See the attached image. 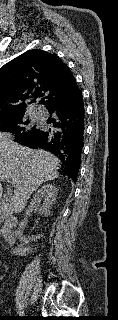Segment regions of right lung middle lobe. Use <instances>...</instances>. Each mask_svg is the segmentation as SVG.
I'll return each mask as SVG.
<instances>
[{"instance_id":"obj_1","label":"right lung middle lobe","mask_w":118,"mask_h":320,"mask_svg":"<svg viewBox=\"0 0 118 320\" xmlns=\"http://www.w3.org/2000/svg\"><path fill=\"white\" fill-rule=\"evenodd\" d=\"M0 131L14 134L17 141L19 138L34 135L39 128L24 117H4L0 119Z\"/></svg>"}]
</instances>
